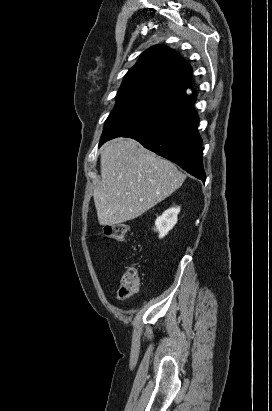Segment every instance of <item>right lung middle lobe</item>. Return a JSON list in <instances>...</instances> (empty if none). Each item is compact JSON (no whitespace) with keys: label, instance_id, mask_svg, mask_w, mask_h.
<instances>
[{"label":"right lung middle lobe","instance_id":"1","mask_svg":"<svg viewBox=\"0 0 272 411\" xmlns=\"http://www.w3.org/2000/svg\"><path fill=\"white\" fill-rule=\"evenodd\" d=\"M116 105L108 116L102 137L124 136L180 109L143 92H118Z\"/></svg>","mask_w":272,"mask_h":411}]
</instances>
